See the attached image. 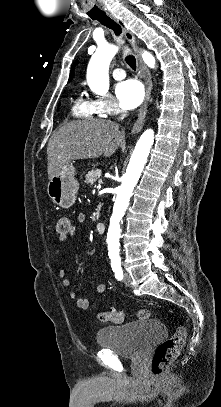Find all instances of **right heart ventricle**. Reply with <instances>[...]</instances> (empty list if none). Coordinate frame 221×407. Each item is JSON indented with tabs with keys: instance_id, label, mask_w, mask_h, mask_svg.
Listing matches in <instances>:
<instances>
[{
	"instance_id": "right-heart-ventricle-1",
	"label": "right heart ventricle",
	"mask_w": 221,
	"mask_h": 407,
	"mask_svg": "<svg viewBox=\"0 0 221 407\" xmlns=\"http://www.w3.org/2000/svg\"><path fill=\"white\" fill-rule=\"evenodd\" d=\"M93 102L77 93L71 103V115L77 118H94L97 115Z\"/></svg>"
}]
</instances>
